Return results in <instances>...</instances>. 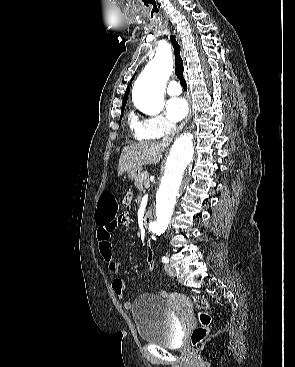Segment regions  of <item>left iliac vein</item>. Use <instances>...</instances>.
<instances>
[{"mask_svg":"<svg viewBox=\"0 0 295 367\" xmlns=\"http://www.w3.org/2000/svg\"><path fill=\"white\" fill-rule=\"evenodd\" d=\"M165 270H166V272H167V274L169 276H171V277H175L176 276V270H175V268L172 265L166 264L165 265Z\"/></svg>","mask_w":295,"mask_h":367,"instance_id":"1","label":"left iliac vein"}]
</instances>
